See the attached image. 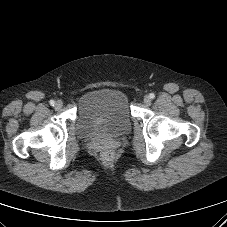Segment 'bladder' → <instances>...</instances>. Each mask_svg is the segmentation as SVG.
<instances>
[{"instance_id":"obj_1","label":"bladder","mask_w":227,"mask_h":227,"mask_svg":"<svg viewBox=\"0 0 227 227\" xmlns=\"http://www.w3.org/2000/svg\"><path fill=\"white\" fill-rule=\"evenodd\" d=\"M131 115L126 95L116 88H98L79 100L76 132L81 138H115L129 132Z\"/></svg>"}]
</instances>
